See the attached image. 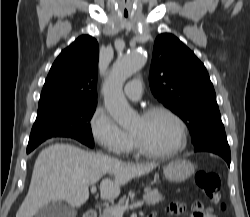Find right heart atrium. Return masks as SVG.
I'll use <instances>...</instances> for the list:
<instances>
[{"label":"right heart atrium","instance_id":"obj_1","mask_svg":"<svg viewBox=\"0 0 250 217\" xmlns=\"http://www.w3.org/2000/svg\"><path fill=\"white\" fill-rule=\"evenodd\" d=\"M88 125L94 141L108 153L122 155L129 151L131 136L102 106H97L93 110Z\"/></svg>","mask_w":250,"mask_h":217}]
</instances>
